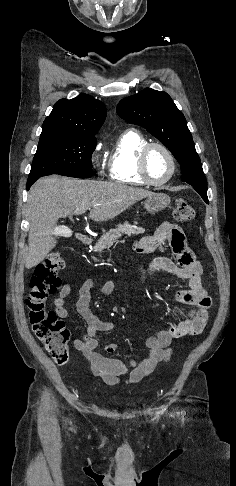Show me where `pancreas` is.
Returning a JSON list of instances; mask_svg holds the SVG:
<instances>
[{"instance_id": "pancreas-1", "label": "pancreas", "mask_w": 236, "mask_h": 486, "mask_svg": "<svg viewBox=\"0 0 236 486\" xmlns=\"http://www.w3.org/2000/svg\"><path fill=\"white\" fill-rule=\"evenodd\" d=\"M135 222L134 225L128 222L119 224L117 228L111 229L105 233L95 244L94 250L102 252L104 249H109L122 235L130 237L131 235H139L145 232V229L138 227Z\"/></svg>"}]
</instances>
